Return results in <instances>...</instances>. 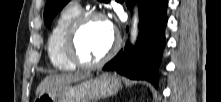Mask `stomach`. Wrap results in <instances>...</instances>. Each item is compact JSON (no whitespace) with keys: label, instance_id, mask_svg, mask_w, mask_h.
I'll list each match as a JSON object with an SVG mask.
<instances>
[{"label":"stomach","instance_id":"1","mask_svg":"<svg viewBox=\"0 0 221 102\" xmlns=\"http://www.w3.org/2000/svg\"><path fill=\"white\" fill-rule=\"evenodd\" d=\"M121 81L113 75L103 74L79 84L53 88L36 97L34 102H95L117 94Z\"/></svg>","mask_w":221,"mask_h":102}]
</instances>
